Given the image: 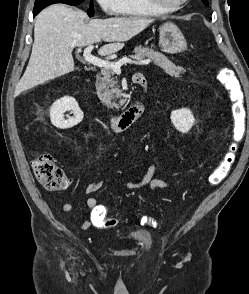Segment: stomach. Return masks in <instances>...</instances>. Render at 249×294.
<instances>
[{"label":"stomach","mask_w":249,"mask_h":294,"mask_svg":"<svg viewBox=\"0 0 249 294\" xmlns=\"http://www.w3.org/2000/svg\"><path fill=\"white\" fill-rule=\"evenodd\" d=\"M159 45L166 53H180L187 48V42L180 29L171 22L159 27Z\"/></svg>","instance_id":"obj_1"}]
</instances>
